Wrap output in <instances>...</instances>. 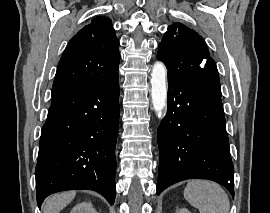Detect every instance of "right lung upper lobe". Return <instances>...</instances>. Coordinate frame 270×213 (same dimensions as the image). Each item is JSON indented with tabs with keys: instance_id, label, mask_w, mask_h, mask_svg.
Segmentation results:
<instances>
[{
	"instance_id": "cb5924a9",
	"label": "right lung upper lobe",
	"mask_w": 270,
	"mask_h": 213,
	"mask_svg": "<svg viewBox=\"0 0 270 213\" xmlns=\"http://www.w3.org/2000/svg\"><path fill=\"white\" fill-rule=\"evenodd\" d=\"M111 20L98 16L67 44L59 61L52 97L111 81L118 75L120 54Z\"/></svg>"
}]
</instances>
